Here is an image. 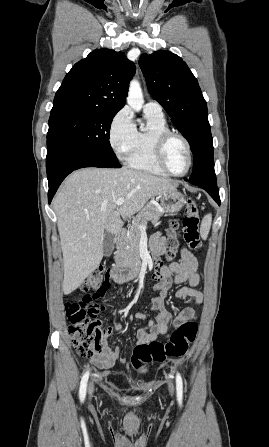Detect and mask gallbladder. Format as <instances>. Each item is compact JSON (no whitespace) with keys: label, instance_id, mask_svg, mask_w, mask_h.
Instances as JSON below:
<instances>
[{"label":"gallbladder","instance_id":"bac80fb5","mask_svg":"<svg viewBox=\"0 0 269 447\" xmlns=\"http://www.w3.org/2000/svg\"><path fill=\"white\" fill-rule=\"evenodd\" d=\"M102 245L104 255H111L114 249V237L109 231H105Z\"/></svg>","mask_w":269,"mask_h":447}]
</instances>
